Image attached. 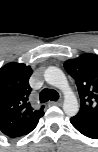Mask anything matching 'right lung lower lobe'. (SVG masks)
<instances>
[{
  "mask_svg": "<svg viewBox=\"0 0 98 152\" xmlns=\"http://www.w3.org/2000/svg\"><path fill=\"white\" fill-rule=\"evenodd\" d=\"M38 123V122H37ZM37 123H35L32 127H30L28 130H26L25 132H23L20 136H23V135H26L28 134L29 132H31L37 125ZM18 136V137H20Z\"/></svg>",
  "mask_w": 98,
  "mask_h": 152,
  "instance_id": "obj_1",
  "label": "right lung lower lobe"
}]
</instances>
